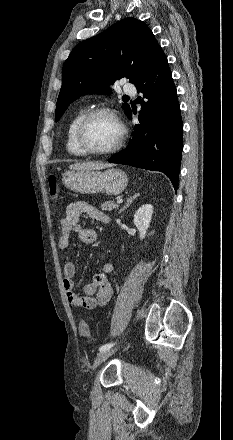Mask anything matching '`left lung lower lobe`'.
Here are the masks:
<instances>
[{"instance_id":"0a47b994","label":"left lung lower lobe","mask_w":233,"mask_h":440,"mask_svg":"<svg viewBox=\"0 0 233 440\" xmlns=\"http://www.w3.org/2000/svg\"><path fill=\"white\" fill-rule=\"evenodd\" d=\"M141 110L128 146L109 162L161 171L178 188L183 149L180 106L167 58L160 52L147 74L135 83ZM132 111L128 113L131 119Z\"/></svg>"}]
</instances>
